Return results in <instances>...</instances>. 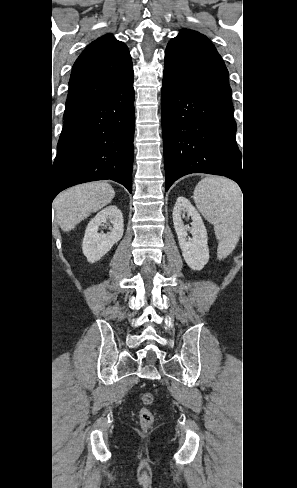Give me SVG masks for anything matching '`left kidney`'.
Masks as SVG:
<instances>
[{
    "instance_id": "left-kidney-1",
    "label": "left kidney",
    "mask_w": 297,
    "mask_h": 488,
    "mask_svg": "<svg viewBox=\"0 0 297 488\" xmlns=\"http://www.w3.org/2000/svg\"><path fill=\"white\" fill-rule=\"evenodd\" d=\"M185 213L192 219L191 227L183 223ZM173 223L184 260L191 269L201 270L209 260L207 231L200 214L185 197L176 200ZM187 231L191 232V238H188Z\"/></svg>"
}]
</instances>
